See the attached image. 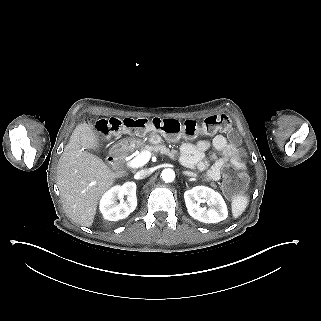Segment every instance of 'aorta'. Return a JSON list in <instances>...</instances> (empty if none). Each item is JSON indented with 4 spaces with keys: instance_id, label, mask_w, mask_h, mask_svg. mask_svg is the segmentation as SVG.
I'll use <instances>...</instances> for the list:
<instances>
[{
    "instance_id": "1",
    "label": "aorta",
    "mask_w": 321,
    "mask_h": 321,
    "mask_svg": "<svg viewBox=\"0 0 321 321\" xmlns=\"http://www.w3.org/2000/svg\"><path fill=\"white\" fill-rule=\"evenodd\" d=\"M161 177L165 182H172L175 178V172L172 169H164L161 173Z\"/></svg>"
}]
</instances>
